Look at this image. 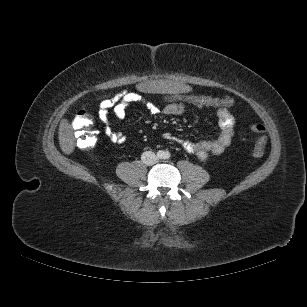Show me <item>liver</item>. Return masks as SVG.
I'll use <instances>...</instances> for the list:
<instances>
[{
	"instance_id": "obj_1",
	"label": "liver",
	"mask_w": 307,
	"mask_h": 307,
	"mask_svg": "<svg viewBox=\"0 0 307 307\" xmlns=\"http://www.w3.org/2000/svg\"><path fill=\"white\" fill-rule=\"evenodd\" d=\"M136 88L139 92L146 94L162 91L165 94H177L180 96H185L190 91L189 84L181 79H165L162 81L159 77L139 82ZM58 133L61 150L67 155L71 154L75 147V138L67 119L61 120Z\"/></svg>"
}]
</instances>
